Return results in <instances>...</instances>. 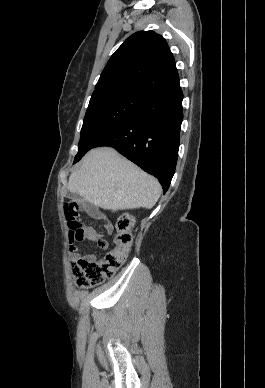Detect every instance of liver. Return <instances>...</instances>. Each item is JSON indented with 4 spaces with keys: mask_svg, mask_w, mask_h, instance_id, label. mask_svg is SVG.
Returning a JSON list of instances; mask_svg holds the SVG:
<instances>
[{
    "mask_svg": "<svg viewBox=\"0 0 265 388\" xmlns=\"http://www.w3.org/2000/svg\"><path fill=\"white\" fill-rule=\"evenodd\" d=\"M68 190L103 210L153 208L162 188L113 148L90 150L69 178Z\"/></svg>",
    "mask_w": 265,
    "mask_h": 388,
    "instance_id": "6515ba94",
    "label": "liver"
}]
</instances>
